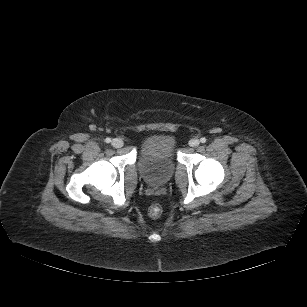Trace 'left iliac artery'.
I'll return each instance as SVG.
<instances>
[{
    "instance_id": "44dca946",
    "label": "left iliac artery",
    "mask_w": 307,
    "mask_h": 307,
    "mask_svg": "<svg viewBox=\"0 0 307 307\" xmlns=\"http://www.w3.org/2000/svg\"><path fill=\"white\" fill-rule=\"evenodd\" d=\"M200 142H201V143H205V142H206V138H205V137H202V138L200 139Z\"/></svg>"
}]
</instances>
